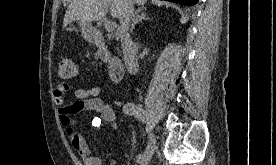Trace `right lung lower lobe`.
Masks as SVG:
<instances>
[{"label": "right lung lower lobe", "instance_id": "right-lung-lower-lobe-1", "mask_svg": "<svg viewBox=\"0 0 276 165\" xmlns=\"http://www.w3.org/2000/svg\"><path fill=\"white\" fill-rule=\"evenodd\" d=\"M167 1H172L185 6H192L198 2V0H167Z\"/></svg>", "mask_w": 276, "mask_h": 165}]
</instances>
